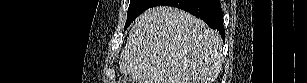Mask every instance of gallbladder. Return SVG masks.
Segmentation results:
<instances>
[{"instance_id":"gallbladder-1","label":"gallbladder","mask_w":307,"mask_h":83,"mask_svg":"<svg viewBox=\"0 0 307 83\" xmlns=\"http://www.w3.org/2000/svg\"><path fill=\"white\" fill-rule=\"evenodd\" d=\"M130 82H131V83H134L135 81H134V79H130Z\"/></svg>"}]
</instances>
